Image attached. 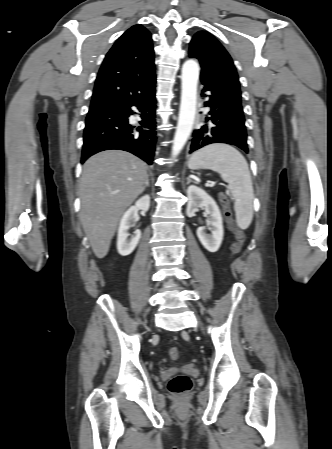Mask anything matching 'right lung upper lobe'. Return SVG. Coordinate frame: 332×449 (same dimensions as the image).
<instances>
[{
    "instance_id": "obj_1",
    "label": "right lung upper lobe",
    "mask_w": 332,
    "mask_h": 449,
    "mask_svg": "<svg viewBox=\"0 0 332 449\" xmlns=\"http://www.w3.org/2000/svg\"><path fill=\"white\" fill-rule=\"evenodd\" d=\"M154 50L150 32L137 24L107 53L97 75L89 112L116 107L155 89Z\"/></svg>"
}]
</instances>
